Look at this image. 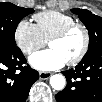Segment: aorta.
<instances>
[{"instance_id":"obj_1","label":"aorta","mask_w":102,"mask_h":102,"mask_svg":"<svg viewBox=\"0 0 102 102\" xmlns=\"http://www.w3.org/2000/svg\"><path fill=\"white\" fill-rule=\"evenodd\" d=\"M66 80L63 75L55 74L50 78V85L54 90H62L65 87Z\"/></svg>"}]
</instances>
